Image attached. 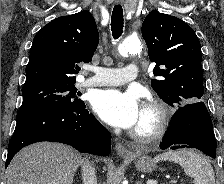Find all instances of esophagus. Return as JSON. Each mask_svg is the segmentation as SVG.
Masks as SVG:
<instances>
[{
	"mask_svg": "<svg viewBox=\"0 0 224 184\" xmlns=\"http://www.w3.org/2000/svg\"><path fill=\"white\" fill-rule=\"evenodd\" d=\"M123 1L124 0H117L118 3H122ZM115 150L118 155H121V156H129L130 155V152L128 151V149L120 142L116 143Z\"/></svg>",
	"mask_w": 224,
	"mask_h": 184,
	"instance_id": "34e87169",
	"label": "esophagus"
}]
</instances>
